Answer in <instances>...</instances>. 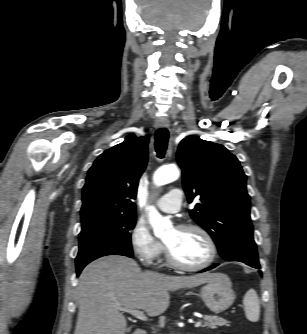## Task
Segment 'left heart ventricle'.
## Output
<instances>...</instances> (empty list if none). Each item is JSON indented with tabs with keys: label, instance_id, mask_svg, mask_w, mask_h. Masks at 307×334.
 Returning <instances> with one entry per match:
<instances>
[{
	"label": "left heart ventricle",
	"instance_id": "b2bd125f",
	"mask_svg": "<svg viewBox=\"0 0 307 334\" xmlns=\"http://www.w3.org/2000/svg\"><path fill=\"white\" fill-rule=\"evenodd\" d=\"M165 242L175 258L187 265H197L209 256V247L203 236L195 230L172 229Z\"/></svg>",
	"mask_w": 307,
	"mask_h": 334
}]
</instances>
